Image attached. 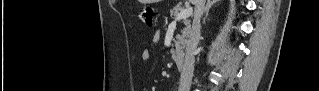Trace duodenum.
<instances>
[{
	"label": "duodenum",
	"instance_id": "1",
	"mask_svg": "<svg viewBox=\"0 0 319 91\" xmlns=\"http://www.w3.org/2000/svg\"><path fill=\"white\" fill-rule=\"evenodd\" d=\"M172 57L177 67L182 69L184 66V54L182 52H175Z\"/></svg>",
	"mask_w": 319,
	"mask_h": 91
}]
</instances>
